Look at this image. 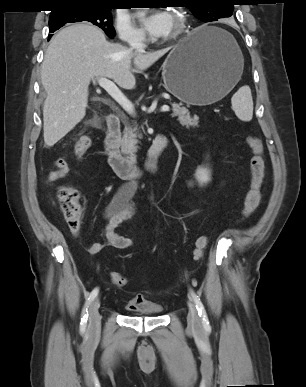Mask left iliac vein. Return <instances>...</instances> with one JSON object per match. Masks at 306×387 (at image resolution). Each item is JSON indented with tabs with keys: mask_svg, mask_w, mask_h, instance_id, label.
Segmentation results:
<instances>
[{
	"mask_svg": "<svg viewBox=\"0 0 306 387\" xmlns=\"http://www.w3.org/2000/svg\"><path fill=\"white\" fill-rule=\"evenodd\" d=\"M189 312L187 315V322L190 328L196 331H202L201 319L198 316V312L195 304L192 301L188 302Z\"/></svg>",
	"mask_w": 306,
	"mask_h": 387,
	"instance_id": "obj_1",
	"label": "left iliac vein"
}]
</instances>
